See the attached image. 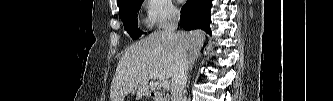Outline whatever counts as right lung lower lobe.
I'll return each mask as SVG.
<instances>
[{
  "instance_id": "right-lung-lower-lobe-1",
  "label": "right lung lower lobe",
  "mask_w": 333,
  "mask_h": 101,
  "mask_svg": "<svg viewBox=\"0 0 333 101\" xmlns=\"http://www.w3.org/2000/svg\"><path fill=\"white\" fill-rule=\"evenodd\" d=\"M212 0H187L182 7L180 24L187 30L202 29L207 33L210 30V9Z\"/></svg>"
}]
</instances>
